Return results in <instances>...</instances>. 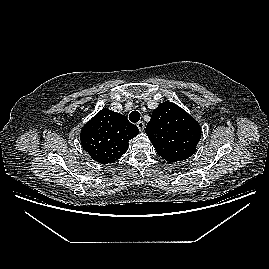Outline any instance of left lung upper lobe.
<instances>
[{"label": "left lung upper lobe", "instance_id": "5c2ea615", "mask_svg": "<svg viewBox=\"0 0 269 269\" xmlns=\"http://www.w3.org/2000/svg\"><path fill=\"white\" fill-rule=\"evenodd\" d=\"M201 127L182 108L166 101L151 115L146 134L157 153L169 162L191 157L201 138Z\"/></svg>", "mask_w": 269, "mask_h": 269}]
</instances>
